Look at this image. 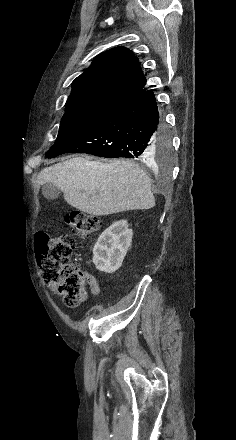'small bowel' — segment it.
Instances as JSON below:
<instances>
[{
	"label": "small bowel",
	"mask_w": 236,
	"mask_h": 440,
	"mask_svg": "<svg viewBox=\"0 0 236 440\" xmlns=\"http://www.w3.org/2000/svg\"><path fill=\"white\" fill-rule=\"evenodd\" d=\"M85 276H86V281H87V284L89 285L91 294L94 296L98 295L100 293V286L98 284L97 279L88 272H85Z\"/></svg>",
	"instance_id": "obj_1"
}]
</instances>
